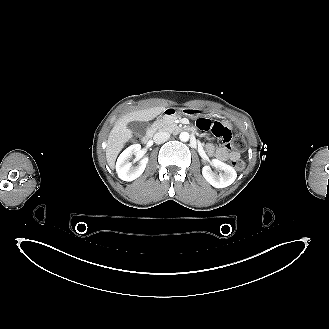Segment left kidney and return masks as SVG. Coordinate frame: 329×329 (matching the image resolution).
<instances>
[{"instance_id": "5707ae66", "label": "left kidney", "mask_w": 329, "mask_h": 329, "mask_svg": "<svg viewBox=\"0 0 329 329\" xmlns=\"http://www.w3.org/2000/svg\"><path fill=\"white\" fill-rule=\"evenodd\" d=\"M212 165L216 169L223 171V173L216 174L212 171L210 166H204L202 168L203 177L213 187L225 188V187L231 185L235 181V179L237 177V173L233 167H231L230 165H228L218 159H213Z\"/></svg>"}]
</instances>
